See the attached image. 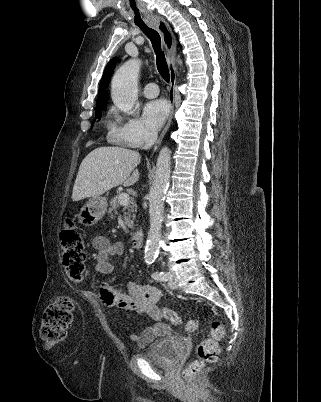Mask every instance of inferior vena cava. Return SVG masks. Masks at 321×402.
<instances>
[{
    "label": "inferior vena cava",
    "instance_id": "602c4592",
    "mask_svg": "<svg viewBox=\"0 0 321 402\" xmlns=\"http://www.w3.org/2000/svg\"><path fill=\"white\" fill-rule=\"evenodd\" d=\"M157 137L158 133L156 131L154 130L148 131L145 137V146L143 147V149H150L156 142Z\"/></svg>",
    "mask_w": 321,
    "mask_h": 402
}]
</instances>
